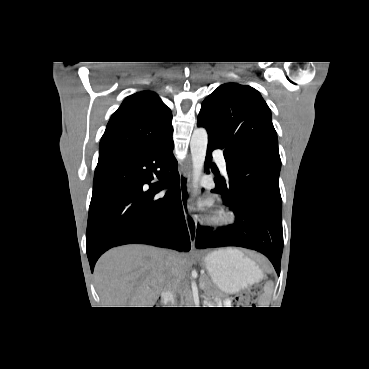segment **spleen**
Segmentation results:
<instances>
[{
    "mask_svg": "<svg viewBox=\"0 0 369 369\" xmlns=\"http://www.w3.org/2000/svg\"><path fill=\"white\" fill-rule=\"evenodd\" d=\"M271 289H272V285L270 283H267L264 286V295H263L262 301H261V305H264L263 307H267L266 305H268V303H269L268 297H269V294L271 292Z\"/></svg>",
    "mask_w": 369,
    "mask_h": 369,
    "instance_id": "spleen-1",
    "label": "spleen"
}]
</instances>
